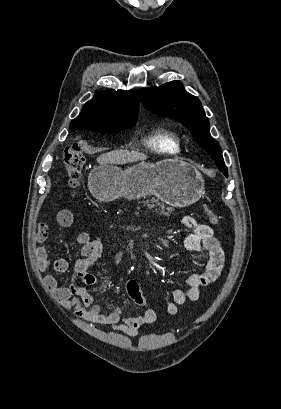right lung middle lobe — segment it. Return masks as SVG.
<instances>
[{
	"label": "right lung middle lobe",
	"instance_id": "1",
	"mask_svg": "<svg viewBox=\"0 0 281 409\" xmlns=\"http://www.w3.org/2000/svg\"><path fill=\"white\" fill-rule=\"evenodd\" d=\"M133 125L130 126H121V127H97V126H92V127H83L80 129H86V130H92L96 132H101V133H114L118 132L121 130H125L127 128L132 127Z\"/></svg>",
	"mask_w": 281,
	"mask_h": 409
}]
</instances>
